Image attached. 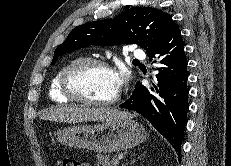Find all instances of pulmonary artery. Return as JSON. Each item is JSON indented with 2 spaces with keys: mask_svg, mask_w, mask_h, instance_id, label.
<instances>
[{
  "mask_svg": "<svg viewBox=\"0 0 231 166\" xmlns=\"http://www.w3.org/2000/svg\"><path fill=\"white\" fill-rule=\"evenodd\" d=\"M130 53L133 57L135 58H139V59H143L145 57V54L143 51H141L140 49H138L137 47L135 46H132L130 48Z\"/></svg>",
  "mask_w": 231,
  "mask_h": 166,
  "instance_id": "1",
  "label": "pulmonary artery"
}]
</instances>
